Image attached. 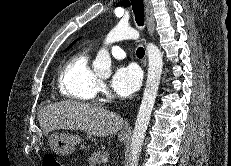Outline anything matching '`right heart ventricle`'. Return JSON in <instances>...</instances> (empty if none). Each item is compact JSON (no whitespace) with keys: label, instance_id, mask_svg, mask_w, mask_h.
I'll list each match as a JSON object with an SVG mask.
<instances>
[{"label":"right heart ventricle","instance_id":"obj_1","mask_svg":"<svg viewBox=\"0 0 231 166\" xmlns=\"http://www.w3.org/2000/svg\"><path fill=\"white\" fill-rule=\"evenodd\" d=\"M90 51L81 50L67 59L59 71L58 90L68 99L90 101L97 93V76L89 65Z\"/></svg>","mask_w":231,"mask_h":166}]
</instances>
